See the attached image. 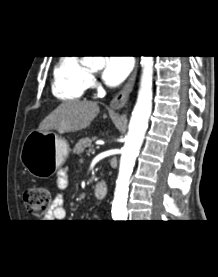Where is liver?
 <instances>
[{
    "instance_id": "obj_1",
    "label": "liver",
    "mask_w": 218,
    "mask_h": 277,
    "mask_svg": "<svg viewBox=\"0 0 218 277\" xmlns=\"http://www.w3.org/2000/svg\"><path fill=\"white\" fill-rule=\"evenodd\" d=\"M99 111L96 102L65 101L40 123L37 131L57 130L61 134L76 132L87 128Z\"/></svg>"
}]
</instances>
